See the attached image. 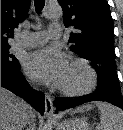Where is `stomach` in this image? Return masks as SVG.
Masks as SVG:
<instances>
[{
  "mask_svg": "<svg viewBox=\"0 0 123 130\" xmlns=\"http://www.w3.org/2000/svg\"><path fill=\"white\" fill-rule=\"evenodd\" d=\"M57 130H91L86 119L73 118L67 121L57 122Z\"/></svg>",
  "mask_w": 123,
  "mask_h": 130,
  "instance_id": "stomach-1",
  "label": "stomach"
}]
</instances>
